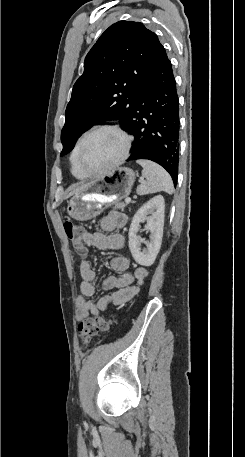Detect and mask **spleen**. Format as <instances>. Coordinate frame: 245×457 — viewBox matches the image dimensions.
I'll return each mask as SVG.
<instances>
[{
    "label": "spleen",
    "mask_w": 245,
    "mask_h": 457,
    "mask_svg": "<svg viewBox=\"0 0 245 457\" xmlns=\"http://www.w3.org/2000/svg\"><path fill=\"white\" fill-rule=\"evenodd\" d=\"M136 162L143 166L142 174L146 176V180L138 184L137 194H151V192H159V190H165L168 194L174 192L172 178L163 166L152 160H136Z\"/></svg>",
    "instance_id": "obj_1"
}]
</instances>
